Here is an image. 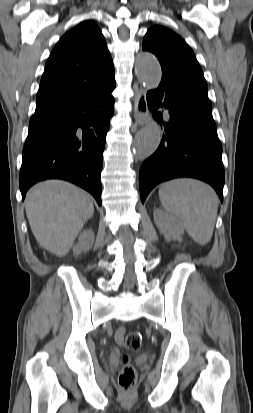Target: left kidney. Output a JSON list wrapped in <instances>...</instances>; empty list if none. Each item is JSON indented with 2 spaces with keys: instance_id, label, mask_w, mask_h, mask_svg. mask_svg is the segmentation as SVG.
<instances>
[{
  "instance_id": "obj_1",
  "label": "left kidney",
  "mask_w": 253,
  "mask_h": 413,
  "mask_svg": "<svg viewBox=\"0 0 253 413\" xmlns=\"http://www.w3.org/2000/svg\"><path fill=\"white\" fill-rule=\"evenodd\" d=\"M154 222L167 241H181V236L184 234V227L178 219L167 212L156 209L154 211Z\"/></svg>"
}]
</instances>
